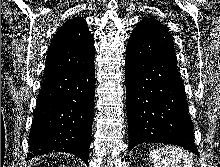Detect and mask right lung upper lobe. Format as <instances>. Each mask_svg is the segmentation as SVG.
Returning <instances> with one entry per match:
<instances>
[{"label": "right lung upper lobe", "instance_id": "cb5924a9", "mask_svg": "<svg viewBox=\"0 0 220 167\" xmlns=\"http://www.w3.org/2000/svg\"><path fill=\"white\" fill-rule=\"evenodd\" d=\"M93 35L81 17L67 21L48 48L45 78L86 68L94 63Z\"/></svg>", "mask_w": 220, "mask_h": 167}]
</instances>
